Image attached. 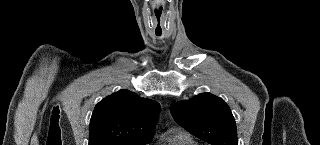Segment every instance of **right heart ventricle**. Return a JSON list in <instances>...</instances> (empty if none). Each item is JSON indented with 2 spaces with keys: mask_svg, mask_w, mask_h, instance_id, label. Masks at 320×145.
I'll return each instance as SVG.
<instances>
[{
  "mask_svg": "<svg viewBox=\"0 0 320 145\" xmlns=\"http://www.w3.org/2000/svg\"><path fill=\"white\" fill-rule=\"evenodd\" d=\"M162 145H199L193 137L184 131H176L165 139Z\"/></svg>",
  "mask_w": 320,
  "mask_h": 145,
  "instance_id": "obj_1",
  "label": "right heart ventricle"
}]
</instances>
